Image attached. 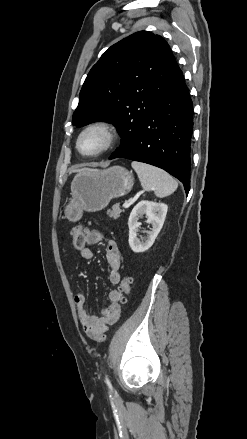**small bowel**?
<instances>
[{
	"label": "small bowel",
	"mask_w": 247,
	"mask_h": 439,
	"mask_svg": "<svg viewBox=\"0 0 247 439\" xmlns=\"http://www.w3.org/2000/svg\"><path fill=\"white\" fill-rule=\"evenodd\" d=\"M104 239V234L98 229H88L85 234V247L79 251L84 260L93 257L92 250L88 247L96 245ZM106 260L109 268V281L117 285L121 281V256L117 243L108 240L106 245ZM123 300L122 292L119 289L111 290L109 293V304L100 315H91L86 308V297L83 292H78L74 297L78 317L85 334L94 341H103L109 326L117 322L120 316Z\"/></svg>",
	"instance_id": "1"
}]
</instances>
